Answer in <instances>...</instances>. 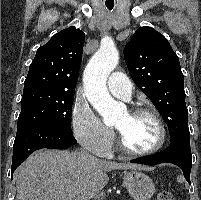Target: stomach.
<instances>
[{"instance_id": "1", "label": "stomach", "mask_w": 201, "mask_h": 200, "mask_svg": "<svg viewBox=\"0 0 201 200\" xmlns=\"http://www.w3.org/2000/svg\"><path fill=\"white\" fill-rule=\"evenodd\" d=\"M123 180L124 186L134 200H149L155 193L152 179L141 171L125 172Z\"/></svg>"}]
</instances>
